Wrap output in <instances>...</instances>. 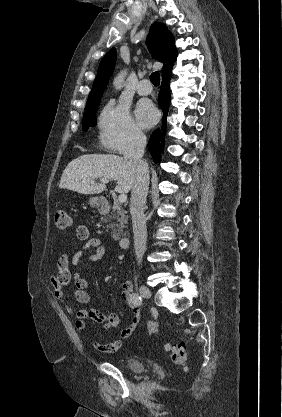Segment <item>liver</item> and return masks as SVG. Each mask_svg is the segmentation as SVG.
<instances>
[{
	"label": "liver",
	"mask_w": 282,
	"mask_h": 417,
	"mask_svg": "<svg viewBox=\"0 0 282 417\" xmlns=\"http://www.w3.org/2000/svg\"><path fill=\"white\" fill-rule=\"evenodd\" d=\"M97 178L117 180L116 192H129L134 182L131 164L117 154H81L64 168L60 188L76 190L81 194H96L106 190V184Z\"/></svg>",
	"instance_id": "liver-1"
}]
</instances>
